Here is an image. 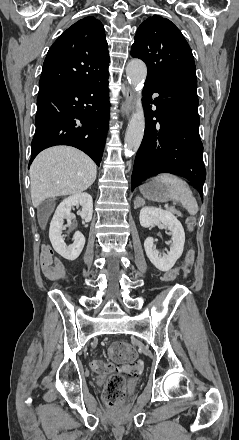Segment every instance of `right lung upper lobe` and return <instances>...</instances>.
Here are the masks:
<instances>
[{
    "instance_id": "right-lung-upper-lobe-1",
    "label": "right lung upper lobe",
    "mask_w": 239,
    "mask_h": 440,
    "mask_svg": "<svg viewBox=\"0 0 239 440\" xmlns=\"http://www.w3.org/2000/svg\"><path fill=\"white\" fill-rule=\"evenodd\" d=\"M109 61L102 23L85 17L64 31L49 49L39 88L102 77L108 74Z\"/></svg>"
}]
</instances>
